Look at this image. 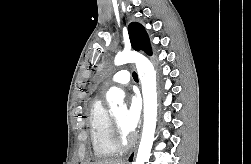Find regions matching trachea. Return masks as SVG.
<instances>
[{"label":"trachea","instance_id":"trachea-1","mask_svg":"<svg viewBox=\"0 0 251 164\" xmlns=\"http://www.w3.org/2000/svg\"><path fill=\"white\" fill-rule=\"evenodd\" d=\"M133 79H134L135 81H138V75H137L136 72H133Z\"/></svg>","mask_w":251,"mask_h":164}]
</instances>
